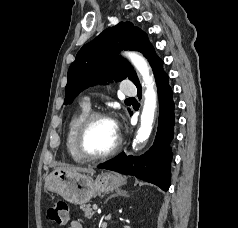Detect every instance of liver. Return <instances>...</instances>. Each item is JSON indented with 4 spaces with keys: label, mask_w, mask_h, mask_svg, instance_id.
<instances>
[{
    "label": "liver",
    "mask_w": 238,
    "mask_h": 228,
    "mask_svg": "<svg viewBox=\"0 0 238 228\" xmlns=\"http://www.w3.org/2000/svg\"><path fill=\"white\" fill-rule=\"evenodd\" d=\"M59 170H63L66 172H83V173H94V169L92 168H83V167H74V166H67V167H60L57 168Z\"/></svg>",
    "instance_id": "obj_1"
}]
</instances>
